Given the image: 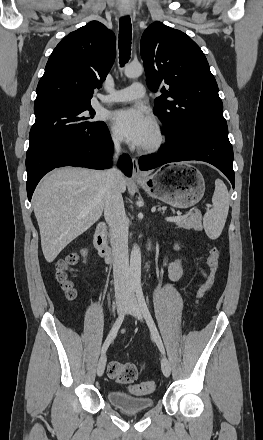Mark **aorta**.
Returning a JSON list of instances; mask_svg holds the SVG:
<instances>
[{
    "label": "aorta",
    "instance_id": "obj_1",
    "mask_svg": "<svg viewBox=\"0 0 263 440\" xmlns=\"http://www.w3.org/2000/svg\"><path fill=\"white\" fill-rule=\"evenodd\" d=\"M143 66L140 63H131L124 69V74L128 78H136L142 75ZM130 284L133 287L141 286V251L137 244L131 250L130 255Z\"/></svg>",
    "mask_w": 263,
    "mask_h": 440
}]
</instances>
